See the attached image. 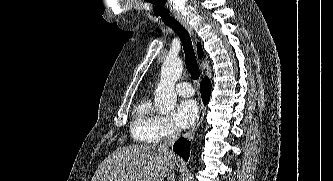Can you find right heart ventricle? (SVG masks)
Returning a JSON list of instances; mask_svg holds the SVG:
<instances>
[{"mask_svg":"<svg viewBox=\"0 0 333 181\" xmlns=\"http://www.w3.org/2000/svg\"><path fill=\"white\" fill-rule=\"evenodd\" d=\"M159 116L150 98L141 99L134 108V121L131 128L134 140L143 143H157L155 127Z\"/></svg>","mask_w":333,"mask_h":181,"instance_id":"e07e8e85","label":"right heart ventricle"}]
</instances>
